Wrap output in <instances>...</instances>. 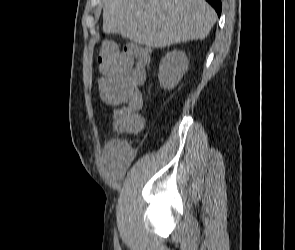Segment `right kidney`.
I'll list each match as a JSON object with an SVG mask.
<instances>
[{
  "instance_id": "1",
  "label": "right kidney",
  "mask_w": 295,
  "mask_h": 250,
  "mask_svg": "<svg viewBox=\"0 0 295 250\" xmlns=\"http://www.w3.org/2000/svg\"><path fill=\"white\" fill-rule=\"evenodd\" d=\"M188 58L183 51L174 50L162 58L158 79L160 85L167 90L174 88L188 69Z\"/></svg>"
}]
</instances>
